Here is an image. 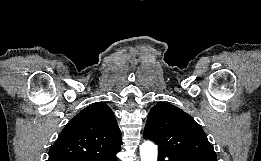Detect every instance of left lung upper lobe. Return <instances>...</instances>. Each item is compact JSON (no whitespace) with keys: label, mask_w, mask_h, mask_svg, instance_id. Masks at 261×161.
<instances>
[{"label":"left lung upper lobe","mask_w":261,"mask_h":161,"mask_svg":"<svg viewBox=\"0 0 261 161\" xmlns=\"http://www.w3.org/2000/svg\"><path fill=\"white\" fill-rule=\"evenodd\" d=\"M144 138L159 146V150H173L216 161V153L195 120L178 107L158 103L148 115Z\"/></svg>","instance_id":"left-lung-upper-lobe-1"}]
</instances>
